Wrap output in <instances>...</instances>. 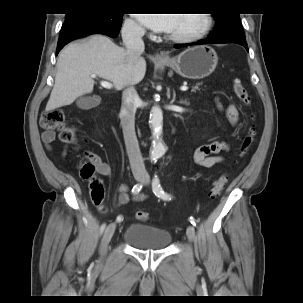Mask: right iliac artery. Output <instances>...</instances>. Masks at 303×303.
Returning a JSON list of instances; mask_svg holds the SVG:
<instances>
[{
	"label": "right iliac artery",
	"instance_id": "1",
	"mask_svg": "<svg viewBox=\"0 0 303 303\" xmlns=\"http://www.w3.org/2000/svg\"><path fill=\"white\" fill-rule=\"evenodd\" d=\"M141 188H142V185H141L140 183L134 185V187L132 188V193H133V194L139 193V191L141 190ZM122 220H123L122 216L119 215V216L117 217V221L120 222V221H122ZM104 228H105V224H103V225L101 226V232H103Z\"/></svg>",
	"mask_w": 303,
	"mask_h": 303
}]
</instances>
